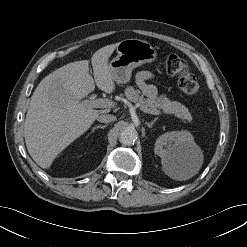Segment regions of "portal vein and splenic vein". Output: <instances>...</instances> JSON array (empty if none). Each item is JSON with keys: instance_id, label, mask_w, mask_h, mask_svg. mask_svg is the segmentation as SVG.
<instances>
[{"instance_id": "portal-vein-and-splenic-vein-1", "label": "portal vein and splenic vein", "mask_w": 247, "mask_h": 247, "mask_svg": "<svg viewBox=\"0 0 247 247\" xmlns=\"http://www.w3.org/2000/svg\"><path fill=\"white\" fill-rule=\"evenodd\" d=\"M85 104L90 105L91 107L94 108H112L115 106V103L109 99H103V98H98L95 100H85L84 101ZM138 107H140V109L147 114H152V115H159L161 114V112L159 110H151L146 106H143L141 104L137 105Z\"/></svg>"}]
</instances>
